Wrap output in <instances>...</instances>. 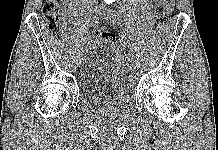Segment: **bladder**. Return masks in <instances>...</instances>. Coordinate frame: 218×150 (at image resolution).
<instances>
[{
  "label": "bladder",
  "mask_w": 218,
  "mask_h": 150,
  "mask_svg": "<svg viewBox=\"0 0 218 150\" xmlns=\"http://www.w3.org/2000/svg\"><path fill=\"white\" fill-rule=\"evenodd\" d=\"M82 92L97 101L115 99L119 105L126 101L123 74L113 59V51L103 43H92L79 71Z\"/></svg>",
  "instance_id": "obj_1"
}]
</instances>
